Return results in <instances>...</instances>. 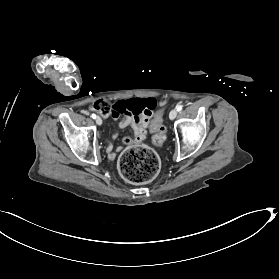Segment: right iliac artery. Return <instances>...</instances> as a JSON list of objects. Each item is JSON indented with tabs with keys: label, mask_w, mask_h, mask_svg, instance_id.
I'll return each mask as SVG.
<instances>
[{
	"label": "right iliac artery",
	"mask_w": 279,
	"mask_h": 279,
	"mask_svg": "<svg viewBox=\"0 0 279 279\" xmlns=\"http://www.w3.org/2000/svg\"><path fill=\"white\" fill-rule=\"evenodd\" d=\"M91 117H92L93 119H95V118H96V115H95V114H92Z\"/></svg>",
	"instance_id": "right-iliac-artery-1"
}]
</instances>
